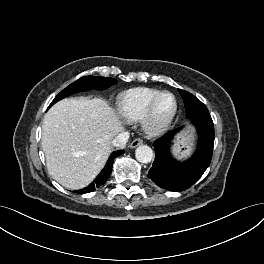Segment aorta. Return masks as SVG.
Returning <instances> with one entry per match:
<instances>
[{"mask_svg":"<svg viewBox=\"0 0 264 264\" xmlns=\"http://www.w3.org/2000/svg\"><path fill=\"white\" fill-rule=\"evenodd\" d=\"M153 155V150L147 145H141L135 151L136 159L141 163L151 162Z\"/></svg>","mask_w":264,"mask_h":264,"instance_id":"1","label":"aorta"}]
</instances>
